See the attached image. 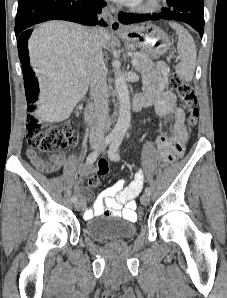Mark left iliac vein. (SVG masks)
Masks as SVG:
<instances>
[{
	"label": "left iliac vein",
	"mask_w": 227,
	"mask_h": 298,
	"mask_svg": "<svg viewBox=\"0 0 227 298\" xmlns=\"http://www.w3.org/2000/svg\"><path fill=\"white\" fill-rule=\"evenodd\" d=\"M140 201H141V204L144 205V206H147L149 205L150 203V195L145 193L141 196L140 198Z\"/></svg>",
	"instance_id": "4c4485c4"
}]
</instances>
